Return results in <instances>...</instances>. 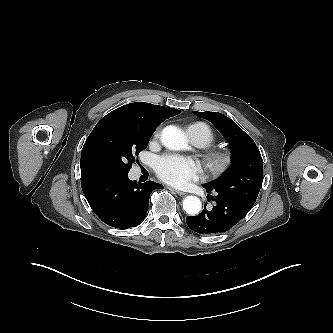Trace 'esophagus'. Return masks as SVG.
I'll return each instance as SVG.
<instances>
[{"instance_id":"34e87169","label":"esophagus","mask_w":333,"mask_h":333,"mask_svg":"<svg viewBox=\"0 0 333 333\" xmlns=\"http://www.w3.org/2000/svg\"><path fill=\"white\" fill-rule=\"evenodd\" d=\"M168 189L171 190V191H173V192H175V193H177L178 195H185L186 194L185 192L177 190V189H175L173 187H170V186L168 187Z\"/></svg>"}]
</instances>
